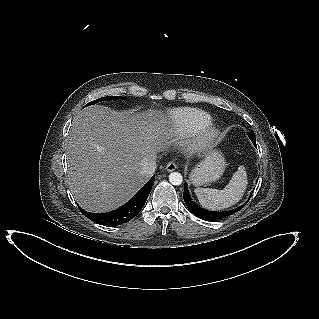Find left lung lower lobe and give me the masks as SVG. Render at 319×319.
Listing matches in <instances>:
<instances>
[{
	"label": "left lung lower lobe",
	"instance_id": "1",
	"mask_svg": "<svg viewBox=\"0 0 319 319\" xmlns=\"http://www.w3.org/2000/svg\"><path fill=\"white\" fill-rule=\"evenodd\" d=\"M253 144L256 146V141H252ZM183 198L184 201L188 207V209L198 218L203 219L205 221H209V220H220L222 218H225L229 215H232L236 212H238L240 209H242L246 203L236 209L233 210H229V211H223V212H212V211H207L205 209H202L201 207H199L194 201H192V199L190 198L189 195V191L187 188V183L185 182L184 184V192H183Z\"/></svg>",
	"mask_w": 319,
	"mask_h": 319
}]
</instances>
